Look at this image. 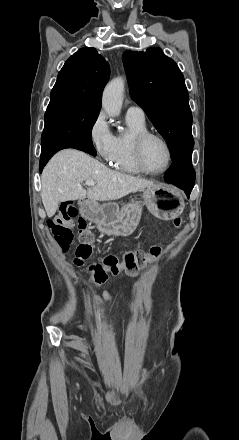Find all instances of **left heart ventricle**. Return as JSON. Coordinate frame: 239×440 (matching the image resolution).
<instances>
[{"label":"left heart ventricle","instance_id":"b2bd125f","mask_svg":"<svg viewBox=\"0 0 239 440\" xmlns=\"http://www.w3.org/2000/svg\"><path fill=\"white\" fill-rule=\"evenodd\" d=\"M143 158L150 171L163 170L168 162V153L164 143L156 138L149 139L143 149Z\"/></svg>","mask_w":239,"mask_h":440}]
</instances>
